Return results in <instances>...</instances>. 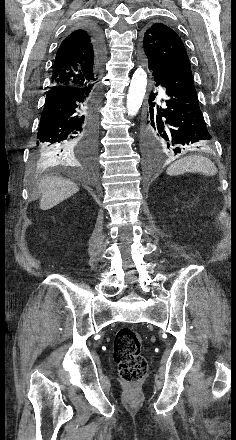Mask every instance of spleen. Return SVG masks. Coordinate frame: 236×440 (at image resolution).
Listing matches in <instances>:
<instances>
[{"mask_svg":"<svg viewBox=\"0 0 236 440\" xmlns=\"http://www.w3.org/2000/svg\"><path fill=\"white\" fill-rule=\"evenodd\" d=\"M186 172H199L207 176H214L218 170L209 158L191 155L175 161L166 171L168 175H179Z\"/></svg>","mask_w":236,"mask_h":440,"instance_id":"spleen-1","label":"spleen"}]
</instances>
